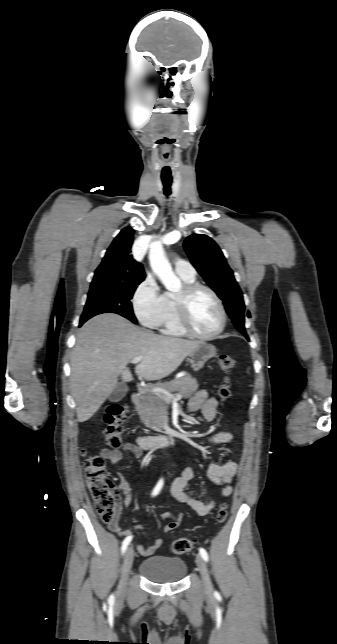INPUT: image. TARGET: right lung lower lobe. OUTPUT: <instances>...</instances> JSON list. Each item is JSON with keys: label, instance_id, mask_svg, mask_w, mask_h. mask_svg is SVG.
<instances>
[{"label": "right lung lower lobe", "instance_id": "1", "mask_svg": "<svg viewBox=\"0 0 337 644\" xmlns=\"http://www.w3.org/2000/svg\"><path fill=\"white\" fill-rule=\"evenodd\" d=\"M84 322H80L79 326H81Z\"/></svg>", "mask_w": 337, "mask_h": 644}]
</instances>
